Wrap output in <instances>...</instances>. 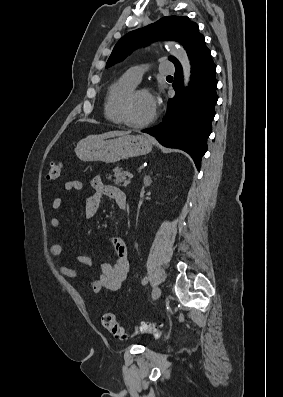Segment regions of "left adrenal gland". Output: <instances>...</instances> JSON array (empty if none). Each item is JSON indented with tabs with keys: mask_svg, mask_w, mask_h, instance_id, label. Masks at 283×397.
<instances>
[{
	"mask_svg": "<svg viewBox=\"0 0 283 397\" xmlns=\"http://www.w3.org/2000/svg\"><path fill=\"white\" fill-rule=\"evenodd\" d=\"M151 182H152L151 177L149 175H145L144 180H143L144 187L150 186Z\"/></svg>",
	"mask_w": 283,
	"mask_h": 397,
	"instance_id": "1",
	"label": "left adrenal gland"
}]
</instances>
